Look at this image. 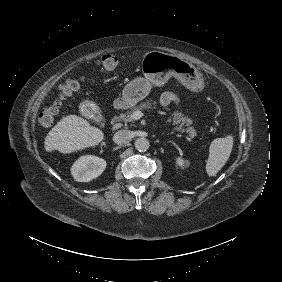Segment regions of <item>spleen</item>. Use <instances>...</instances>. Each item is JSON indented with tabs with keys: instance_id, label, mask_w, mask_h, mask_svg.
Masks as SVG:
<instances>
[{
	"instance_id": "spleen-1",
	"label": "spleen",
	"mask_w": 282,
	"mask_h": 282,
	"mask_svg": "<svg viewBox=\"0 0 282 282\" xmlns=\"http://www.w3.org/2000/svg\"><path fill=\"white\" fill-rule=\"evenodd\" d=\"M233 147V137L215 139L210 146V154L206 163V172L209 176H215L225 165L230 157Z\"/></svg>"
}]
</instances>
